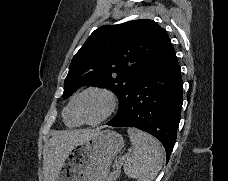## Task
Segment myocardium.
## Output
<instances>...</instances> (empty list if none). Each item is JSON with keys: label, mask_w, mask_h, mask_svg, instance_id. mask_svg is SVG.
Segmentation results:
<instances>
[{"label": "myocardium", "mask_w": 228, "mask_h": 181, "mask_svg": "<svg viewBox=\"0 0 228 181\" xmlns=\"http://www.w3.org/2000/svg\"><path fill=\"white\" fill-rule=\"evenodd\" d=\"M88 93H96L100 96H102L105 100L104 107L98 117L92 120H84L81 118L80 113H79V108H78V102L80 98ZM117 104V99L116 96L109 90L104 89V88H99V87H92L89 89L84 90L81 92L74 100L73 106H74V111L75 114L78 116L79 120L85 124H98L105 120L108 116L111 115V113L114 111L115 107Z\"/></svg>", "instance_id": "f54148a6"}]
</instances>
